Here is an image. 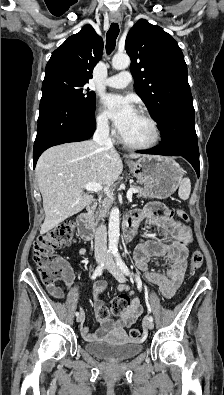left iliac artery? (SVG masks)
<instances>
[{
    "mask_svg": "<svg viewBox=\"0 0 224 395\" xmlns=\"http://www.w3.org/2000/svg\"><path fill=\"white\" fill-rule=\"evenodd\" d=\"M114 256H115V260L117 262L118 267L120 268V270L127 276H131V272L129 270V268L127 267V265L125 264V262L122 260L119 252L117 250H115L113 252ZM136 282H137V288L139 291H141L142 289V282L141 279L138 276H135ZM148 307V311L151 312V308L149 305H147ZM149 319L153 321V317L149 316Z\"/></svg>",
    "mask_w": 224,
    "mask_h": 395,
    "instance_id": "1",
    "label": "left iliac artery"
}]
</instances>
